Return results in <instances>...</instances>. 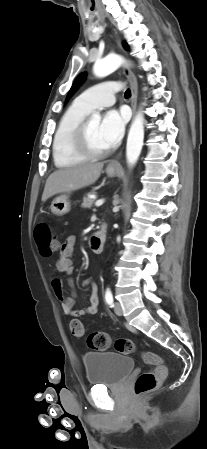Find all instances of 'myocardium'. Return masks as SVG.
Returning <instances> with one entry per match:
<instances>
[{
	"instance_id": "f54148a6",
	"label": "myocardium",
	"mask_w": 207,
	"mask_h": 449,
	"mask_svg": "<svg viewBox=\"0 0 207 449\" xmlns=\"http://www.w3.org/2000/svg\"><path fill=\"white\" fill-rule=\"evenodd\" d=\"M88 121L83 120L75 129L72 138L74 151L85 159H100L109 153V149L95 150L91 147L87 134Z\"/></svg>"
}]
</instances>
